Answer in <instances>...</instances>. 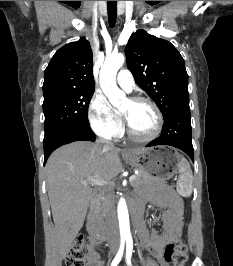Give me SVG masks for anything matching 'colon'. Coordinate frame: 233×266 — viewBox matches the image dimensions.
<instances>
[{
    "label": "colon",
    "mask_w": 233,
    "mask_h": 266,
    "mask_svg": "<svg viewBox=\"0 0 233 266\" xmlns=\"http://www.w3.org/2000/svg\"><path fill=\"white\" fill-rule=\"evenodd\" d=\"M89 240L83 235L73 243L66 258V266H85V256ZM164 260L172 266H185L187 261V247L182 240L166 246Z\"/></svg>",
    "instance_id": "obj_1"
}]
</instances>
